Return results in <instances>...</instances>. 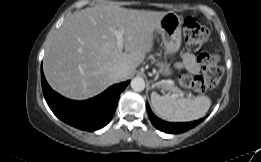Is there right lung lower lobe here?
Returning a JSON list of instances; mask_svg holds the SVG:
<instances>
[{"mask_svg":"<svg viewBox=\"0 0 261 162\" xmlns=\"http://www.w3.org/2000/svg\"><path fill=\"white\" fill-rule=\"evenodd\" d=\"M41 83L48 106L60 120L78 129L94 131L109 123L116 110L120 93L129 81L113 85L100 95L85 101L69 100L53 91L42 69Z\"/></svg>","mask_w":261,"mask_h":162,"instance_id":"1","label":"right lung lower lobe"}]
</instances>
